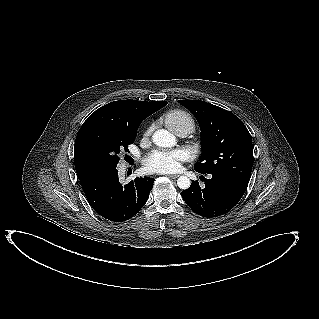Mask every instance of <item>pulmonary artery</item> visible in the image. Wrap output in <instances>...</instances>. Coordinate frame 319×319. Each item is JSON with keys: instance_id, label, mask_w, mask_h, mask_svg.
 Wrapping results in <instances>:
<instances>
[{"instance_id": "e3ab8cb5", "label": "pulmonary artery", "mask_w": 319, "mask_h": 319, "mask_svg": "<svg viewBox=\"0 0 319 319\" xmlns=\"http://www.w3.org/2000/svg\"><path fill=\"white\" fill-rule=\"evenodd\" d=\"M177 135H179V136H181V137H185V136L187 135V132H185V131H179V132L177 133Z\"/></svg>"}]
</instances>
